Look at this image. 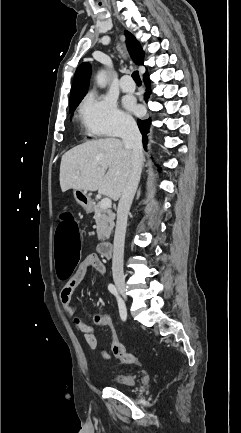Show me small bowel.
Listing matches in <instances>:
<instances>
[{
  "label": "small bowel",
  "mask_w": 241,
  "mask_h": 433,
  "mask_svg": "<svg viewBox=\"0 0 241 433\" xmlns=\"http://www.w3.org/2000/svg\"><path fill=\"white\" fill-rule=\"evenodd\" d=\"M95 269L100 274L106 273V267L101 262L99 257L96 254H88L83 258V260L79 263L77 269L74 274L66 281L64 284L61 293H60V301L63 306L65 313L71 317H73V323L75 327L83 333L84 339L87 345L91 349H96L98 346L97 336L91 326L86 324L81 318L75 316V308L72 304V295L79 284L82 282L84 277L86 276L89 269ZM98 326L108 327L111 330L112 343L118 340L117 335L115 334L112 328V319L108 314H101V319L98 320ZM103 356L108 359L110 358V354L107 351L103 352Z\"/></svg>",
  "instance_id": "obj_1"
}]
</instances>
